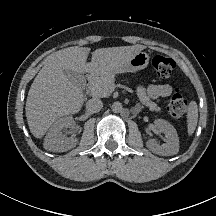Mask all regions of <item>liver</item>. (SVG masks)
Here are the masks:
<instances>
[{
  "label": "liver",
  "instance_id": "liver-1",
  "mask_svg": "<svg viewBox=\"0 0 216 216\" xmlns=\"http://www.w3.org/2000/svg\"><path fill=\"white\" fill-rule=\"evenodd\" d=\"M144 48L134 45L96 49L89 63L88 47H69L49 56L27 96L26 118L33 136L42 138L58 118L81 110L82 90L66 77L64 70L100 75L114 70Z\"/></svg>",
  "mask_w": 216,
  "mask_h": 216
}]
</instances>
